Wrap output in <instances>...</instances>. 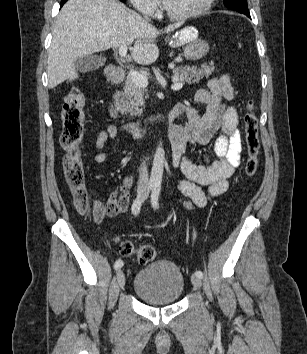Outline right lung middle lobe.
<instances>
[{
  "instance_id": "right-lung-middle-lobe-1",
  "label": "right lung middle lobe",
  "mask_w": 307,
  "mask_h": 354,
  "mask_svg": "<svg viewBox=\"0 0 307 354\" xmlns=\"http://www.w3.org/2000/svg\"><path fill=\"white\" fill-rule=\"evenodd\" d=\"M120 1L124 2V1H126V0H120Z\"/></svg>"
}]
</instances>
